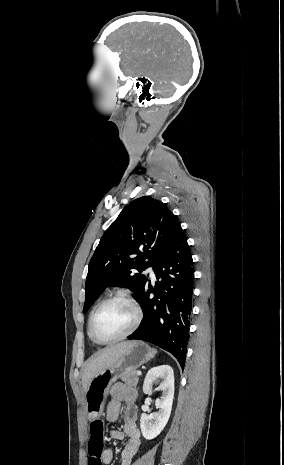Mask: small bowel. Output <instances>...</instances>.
<instances>
[{
  "label": "small bowel",
  "instance_id": "1",
  "mask_svg": "<svg viewBox=\"0 0 284 465\" xmlns=\"http://www.w3.org/2000/svg\"><path fill=\"white\" fill-rule=\"evenodd\" d=\"M137 392L134 388H129L121 382L115 383L110 389V399L106 409V418L109 422H116L120 415L123 417L121 430L112 429L109 432L111 438L122 441L128 438L122 452L121 465H131L134 457L139 451L141 444L140 432L137 428L138 412L134 406ZM124 404V409H122ZM103 462L111 464L114 459V452L107 448L103 452Z\"/></svg>",
  "mask_w": 284,
  "mask_h": 465
}]
</instances>
